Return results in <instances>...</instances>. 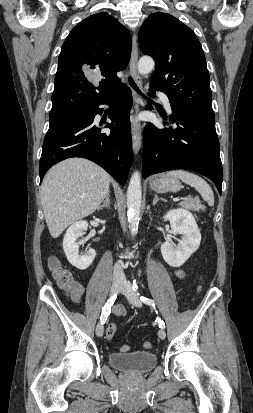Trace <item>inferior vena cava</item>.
Segmentation results:
<instances>
[{
  "label": "inferior vena cava",
  "mask_w": 253,
  "mask_h": 413,
  "mask_svg": "<svg viewBox=\"0 0 253 413\" xmlns=\"http://www.w3.org/2000/svg\"><path fill=\"white\" fill-rule=\"evenodd\" d=\"M114 277L115 278L124 277L122 266L119 263H116L114 265Z\"/></svg>",
  "instance_id": "1"
}]
</instances>
